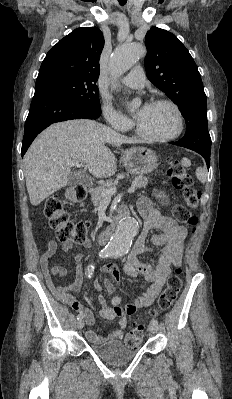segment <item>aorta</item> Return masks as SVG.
Here are the masks:
<instances>
[{
    "label": "aorta",
    "instance_id": "obj_1",
    "mask_svg": "<svg viewBox=\"0 0 232 399\" xmlns=\"http://www.w3.org/2000/svg\"><path fill=\"white\" fill-rule=\"evenodd\" d=\"M145 48L140 44H131L118 47L113 52L109 62V68L114 81L122 74L129 70L140 58L145 55ZM112 83V88H116V84ZM138 231V222L132 217L123 218L113 234L108 245L104 249V253L111 257H120L128 253L132 239Z\"/></svg>",
    "mask_w": 232,
    "mask_h": 399
}]
</instances>
